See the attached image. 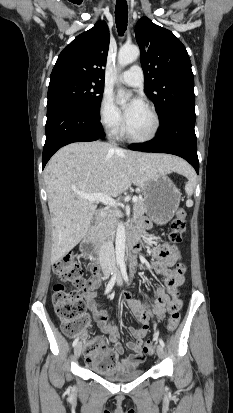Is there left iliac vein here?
I'll return each instance as SVG.
<instances>
[{"instance_id": "obj_1", "label": "left iliac vein", "mask_w": 233, "mask_h": 413, "mask_svg": "<svg viewBox=\"0 0 233 413\" xmlns=\"http://www.w3.org/2000/svg\"><path fill=\"white\" fill-rule=\"evenodd\" d=\"M117 284H118L119 286L122 285V278H121L120 274H118V276H117ZM156 352H157L158 357H159L160 359H162L163 356H164V349H163V347H162L161 345H157Z\"/></svg>"}]
</instances>
